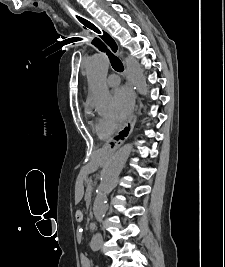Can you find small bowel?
<instances>
[{"instance_id": "obj_1", "label": "small bowel", "mask_w": 225, "mask_h": 267, "mask_svg": "<svg viewBox=\"0 0 225 267\" xmlns=\"http://www.w3.org/2000/svg\"><path fill=\"white\" fill-rule=\"evenodd\" d=\"M80 264H81V267H90V262L86 255L84 254L80 255Z\"/></svg>"}]
</instances>
